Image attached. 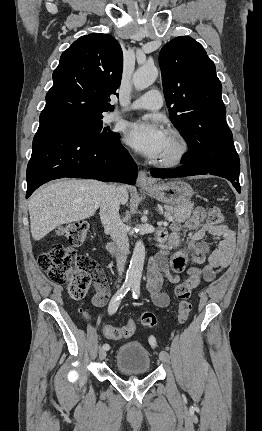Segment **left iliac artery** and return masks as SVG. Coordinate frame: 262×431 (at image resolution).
<instances>
[{
    "mask_svg": "<svg viewBox=\"0 0 262 431\" xmlns=\"http://www.w3.org/2000/svg\"><path fill=\"white\" fill-rule=\"evenodd\" d=\"M131 288L133 298L137 299L140 294V283L138 281L134 282Z\"/></svg>",
    "mask_w": 262,
    "mask_h": 431,
    "instance_id": "left-iliac-artery-1",
    "label": "left iliac artery"
}]
</instances>
